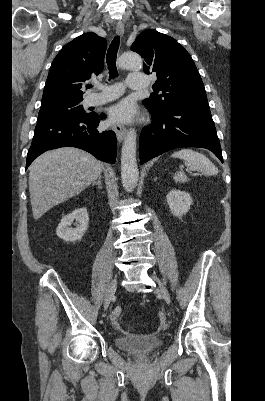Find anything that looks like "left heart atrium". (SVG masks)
Wrapping results in <instances>:
<instances>
[{"label":"left heart atrium","instance_id":"obj_1","mask_svg":"<svg viewBox=\"0 0 265 401\" xmlns=\"http://www.w3.org/2000/svg\"><path fill=\"white\" fill-rule=\"evenodd\" d=\"M136 114V106L130 99L122 100L109 109V119L114 123L129 122Z\"/></svg>","mask_w":265,"mask_h":401}]
</instances>
